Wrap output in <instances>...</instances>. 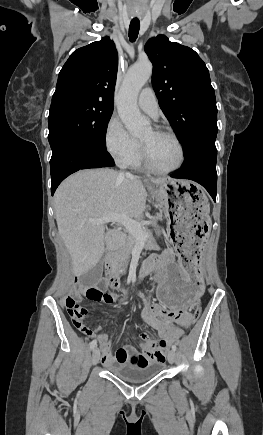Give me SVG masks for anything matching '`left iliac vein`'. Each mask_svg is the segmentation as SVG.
<instances>
[{
    "label": "left iliac vein",
    "mask_w": 263,
    "mask_h": 435,
    "mask_svg": "<svg viewBox=\"0 0 263 435\" xmlns=\"http://www.w3.org/2000/svg\"><path fill=\"white\" fill-rule=\"evenodd\" d=\"M176 357H177V355H176V352L174 350H170L168 352V361H169V363L173 364L175 362V360H176Z\"/></svg>",
    "instance_id": "obj_1"
}]
</instances>
